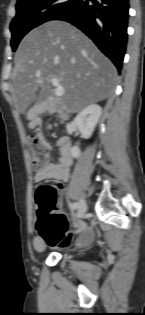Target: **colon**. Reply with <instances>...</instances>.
Listing matches in <instances>:
<instances>
[{
  "mask_svg": "<svg viewBox=\"0 0 145 315\" xmlns=\"http://www.w3.org/2000/svg\"><path fill=\"white\" fill-rule=\"evenodd\" d=\"M27 142L33 167L36 170L44 168L49 161V151L45 140L37 135H31ZM60 190V187L56 185H43L37 188L35 193L36 230L48 245L66 247L70 244L71 236L66 234L67 217L59 210Z\"/></svg>",
  "mask_w": 145,
  "mask_h": 315,
  "instance_id": "colon-1",
  "label": "colon"
}]
</instances>
